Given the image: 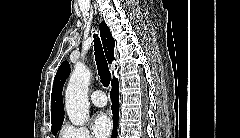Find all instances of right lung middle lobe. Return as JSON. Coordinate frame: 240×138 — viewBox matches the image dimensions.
<instances>
[{
	"label": "right lung middle lobe",
	"mask_w": 240,
	"mask_h": 138,
	"mask_svg": "<svg viewBox=\"0 0 240 138\" xmlns=\"http://www.w3.org/2000/svg\"><path fill=\"white\" fill-rule=\"evenodd\" d=\"M61 125H62V124L56 125V126H52V127H51V132H52L54 135H56Z\"/></svg>",
	"instance_id": "obj_1"
}]
</instances>
